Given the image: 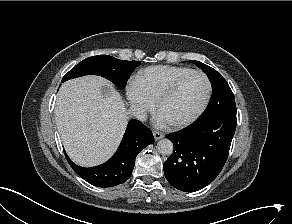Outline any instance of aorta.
<instances>
[{
  "mask_svg": "<svg viewBox=\"0 0 292 224\" xmlns=\"http://www.w3.org/2000/svg\"><path fill=\"white\" fill-rule=\"evenodd\" d=\"M157 150L163 155H171L173 153V143L169 139H161L157 143Z\"/></svg>",
  "mask_w": 292,
  "mask_h": 224,
  "instance_id": "obj_1",
  "label": "aorta"
}]
</instances>
